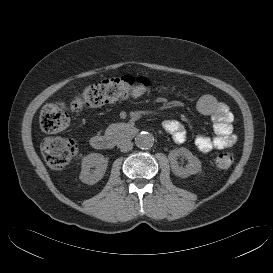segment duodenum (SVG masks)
I'll use <instances>...</instances> for the list:
<instances>
[{
	"label": "duodenum",
	"instance_id": "duodenum-1",
	"mask_svg": "<svg viewBox=\"0 0 273 273\" xmlns=\"http://www.w3.org/2000/svg\"><path fill=\"white\" fill-rule=\"evenodd\" d=\"M135 126L122 124L116 130L105 135H94L90 139V145L97 150L113 148L117 143L124 141L135 133Z\"/></svg>",
	"mask_w": 273,
	"mask_h": 273
}]
</instances>
